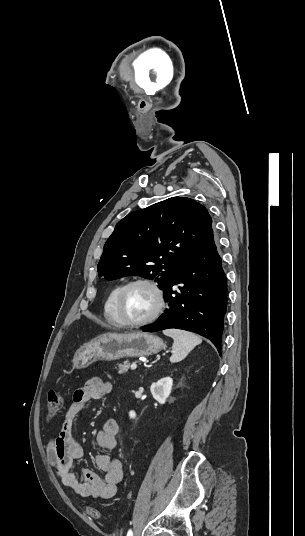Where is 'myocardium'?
Masks as SVG:
<instances>
[{"label":"myocardium","mask_w":305,"mask_h":536,"mask_svg":"<svg viewBox=\"0 0 305 536\" xmlns=\"http://www.w3.org/2000/svg\"><path fill=\"white\" fill-rule=\"evenodd\" d=\"M137 284L146 285L154 291L156 295V299H157V305L154 311L150 313L146 318L139 320V321L131 322V321H127L124 319L123 298H124L126 291L131 286L137 285ZM165 303H166V299H165L164 291L157 281L151 278H147V277H136L125 282L119 289L118 294L115 299V311H116L117 317L120 320L121 326L127 327V328H139L154 321L163 312Z\"/></svg>","instance_id":"obj_1"}]
</instances>
